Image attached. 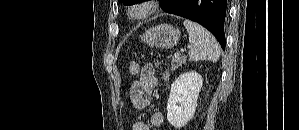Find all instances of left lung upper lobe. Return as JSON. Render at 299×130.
Masks as SVG:
<instances>
[{
	"instance_id": "left-lung-upper-lobe-1",
	"label": "left lung upper lobe",
	"mask_w": 299,
	"mask_h": 130,
	"mask_svg": "<svg viewBox=\"0 0 299 130\" xmlns=\"http://www.w3.org/2000/svg\"><path fill=\"white\" fill-rule=\"evenodd\" d=\"M142 0H121V2L124 4V5H132V4H135V3H138V2H141ZM160 3L164 2L165 0H159Z\"/></svg>"
}]
</instances>
